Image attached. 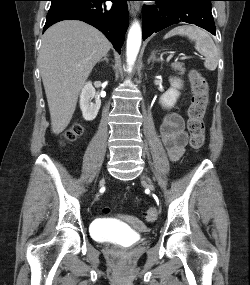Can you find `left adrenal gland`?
<instances>
[{"label": "left adrenal gland", "instance_id": "1", "mask_svg": "<svg viewBox=\"0 0 250 285\" xmlns=\"http://www.w3.org/2000/svg\"><path fill=\"white\" fill-rule=\"evenodd\" d=\"M160 61H162L160 58H157L156 57V55H155V51H153L152 53H151V56L149 57V59H148V64L150 63V62H160Z\"/></svg>", "mask_w": 250, "mask_h": 285}]
</instances>
